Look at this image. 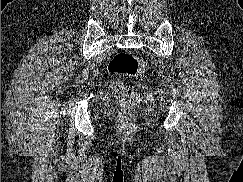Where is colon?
Instances as JSON below:
<instances>
[{"label":"colon","instance_id":"1","mask_svg":"<svg viewBox=\"0 0 243 182\" xmlns=\"http://www.w3.org/2000/svg\"><path fill=\"white\" fill-rule=\"evenodd\" d=\"M108 69L115 75L134 76L145 72L148 69V63L131 53L119 52L110 60ZM113 88L126 101H135L140 97L136 89L121 81H115Z\"/></svg>","mask_w":243,"mask_h":182}]
</instances>
